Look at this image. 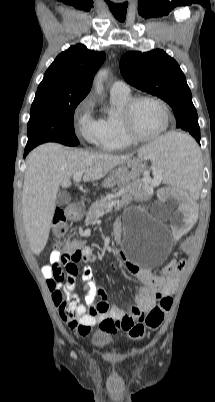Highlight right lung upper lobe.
Here are the masks:
<instances>
[{
    "label": "right lung upper lobe",
    "instance_id": "obj_1",
    "mask_svg": "<svg viewBox=\"0 0 215 402\" xmlns=\"http://www.w3.org/2000/svg\"><path fill=\"white\" fill-rule=\"evenodd\" d=\"M104 59V52L88 50L82 44L71 46L47 69L36 95L84 98Z\"/></svg>",
    "mask_w": 215,
    "mask_h": 402
}]
</instances>
